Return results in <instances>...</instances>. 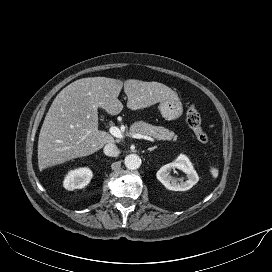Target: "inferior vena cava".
<instances>
[{
  "mask_svg": "<svg viewBox=\"0 0 272 272\" xmlns=\"http://www.w3.org/2000/svg\"><path fill=\"white\" fill-rule=\"evenodd\" d=\"M104 153L107 156L116 157L120 153L118 147L113 143H108L104 147Z\"/></svg>",
  "mask_w": 272,
  "mask_h": 272,
  "instance_id": "602c4592",
  "label": "inferior vena cava"
}]
</instances>
